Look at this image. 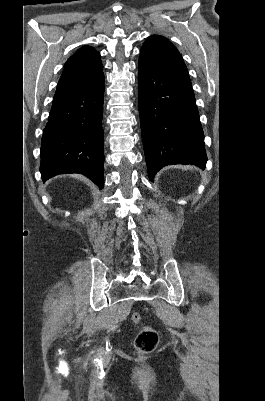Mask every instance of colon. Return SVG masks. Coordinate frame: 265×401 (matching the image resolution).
Listing matches in <instances>:
<instances>
[{
	"instance_id": "obj_1",
	"label": "colon",
	"mask_w": 265,
	"mask_h": 401,
	"mask_svg": "<svg viewBox=\"0 0 265 401\" xmlns=\"http://www.w3.org/2000/svg\"><path fill=\"white\" fill-rule=\"evenodd\" d=\"M131 323L138 326L141 323L142 317L140 313L133 312L130 317ZM158 333L151 327H142L134 340V349L138 354H148L155 350L158 345Z\"/></svg>"
}]
</instances>
